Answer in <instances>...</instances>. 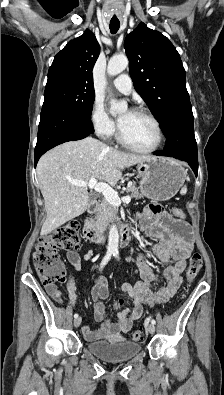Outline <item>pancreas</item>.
I'll use <instances>...</instances> for the list:
<instances>
[{"instance_id":"1","label":"pancreas","mask_w":224,"mask_h":395,"mask_svg":"<svg viewBox=\"0 0 224 395\" xmlns=\"http://www.w3.org/2000/svg\"><path fill=\"white\" fill-rule=\"evenodd\" d=\"M135 199H141L143 195L140 193L139 188L132 184L126 190ZM117 213L116 206L109 203L106 199L102 200L94 210L93 223L96 228L108 225L115 219Z\"/></svg>"}]
</instances>
